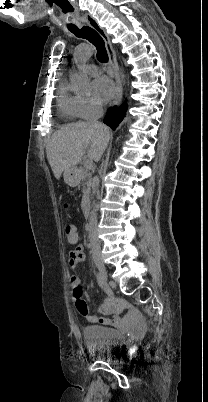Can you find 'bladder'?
I'll list each match as a JSON object with an SVG mask.
<instances>
[{
  "instance_id": "bladder-1",
  "label": "bladder",
  "mask_w": 208,
  "mask_h": 402,
  "mask_svg": "<svg viewBox=\"0 0 208 402\" xmlns=\"http://www.w3.org/2000/svg\"><path fill=\"white\" fill-rule=\"evenodd\" d=\"M82 334L88 351L105 358L107 361H110L121 351L122 344L125 341V336L102 324L83 326Z\"/></svg>"
}]
</instances>
